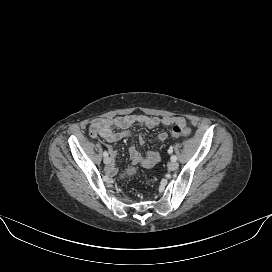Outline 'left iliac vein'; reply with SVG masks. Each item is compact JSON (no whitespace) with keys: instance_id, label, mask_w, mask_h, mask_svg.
Segmentation results:
<instances>
[{"instance_id":"1","label":"left iliac vein","mask_w":272,"mask_h":272,"mask_svg":"<svg viewBox=\"0 0 272 272\" xmlns=\"http://www.w3.org/2000/svg\"><path fill=\"white\" fill-rule=\"evenodd\" d=\"M178 166H179L178 163L175 161H172V162L168 163V165H167L168 170H170V171L176 170L178 168Z\"/></svg>"}]
</instances>
